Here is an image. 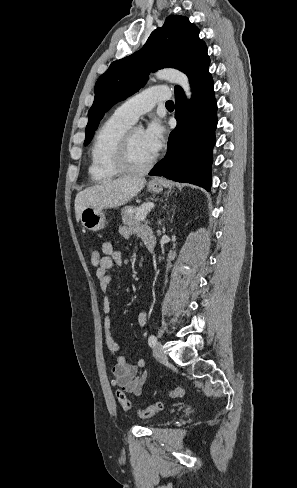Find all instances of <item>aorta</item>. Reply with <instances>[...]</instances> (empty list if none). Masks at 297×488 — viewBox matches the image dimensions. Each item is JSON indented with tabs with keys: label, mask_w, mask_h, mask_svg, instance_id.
I'll use <instances>...</instances> for the list:
<instances>
[{
	"label": "aorta",
	"mask_w": 297,
	"mask_h": 488,
	"mask_svg": "<svg viewBox=\"0 0 297 488\" xmlns=\"http://www.w3.org/2000/svg\"><path fill=\"white\" fill-rule=\"evenodd\" d=\"M156 77L160 80H167L172 83L178 84L184 90L186 97L191 98V87L188 77L181 71L176 69H162L155 73Z\"/></svg>",
	"instance_id": "obj_1"
}]
</instances>
